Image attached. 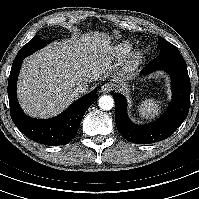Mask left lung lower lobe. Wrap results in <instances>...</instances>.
Here are the masks:
<instances>
[{"label":"left lung lower lobe","instance_id":"obj_1","mask_svg":"<svg viewBox=\"0 0 199 199\" xmlns=\"http://www.w3.org/2000/svg\"><path fill=\"white\" fill-rule=\"evenodd\" d=\"M159 69L170 74L173 97L168 110L157 121L146 125L132 123L127 116L125 98L118 93L113 95L117 129L129 142L149 144L162 141L172 135L188 115L191 85L186 63L180 52L159 54L142 70V74Z\"/></svg>","mask_w":199,"mask_h":199}]
</instances>
